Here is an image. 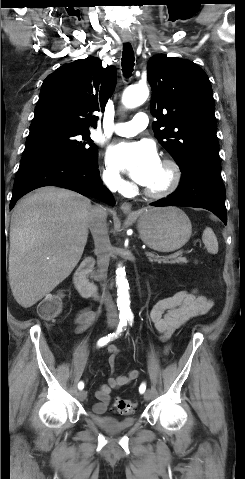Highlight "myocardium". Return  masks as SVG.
<instances>
[{"label": "myocardium", "instance_id": "f54148a6", "mask_svg": "<svg viewBox=\"0 0 245 479\" xmlns=\"http://www.w3.org/2000/svg\"><path fill=\"white\" fill-rule=\"evenodd\" d=\"M161 165L168 171V180L166 184L159 189H151L146 187L144 193L147 197L152 199H162L174 193L181 182V169L179 165L170 158H164Z\"/></svg>", "mask_w": 245, "mask_h": 479}]
</instances>
